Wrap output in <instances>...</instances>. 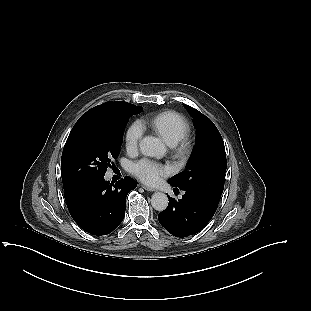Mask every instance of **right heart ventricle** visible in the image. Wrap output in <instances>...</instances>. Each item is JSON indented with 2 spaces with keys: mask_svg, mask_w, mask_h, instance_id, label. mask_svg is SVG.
Wrapping results in <instances>:
<instances>
[{
  "mask_svg": "<svg viewBox=\"0 0 311 311\" xmlns=\"http://www.w3.org/2000/svg\"><path fill=\"white\" fill-rule=\"evenodd\" d=\"M152 126L165 142L174 141L177 143L189 130L186 118L175 111H167L157 115L152 121Z\"/></svg>",
  "mask_w": 311,
  "mask_h": 311,
  "instance_id": "e07e8e85",
  "label": "right heart ventricle"
}]
</instances>
